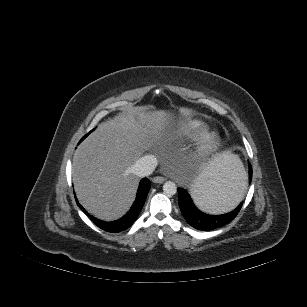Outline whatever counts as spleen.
I'll list each match as a JSON object with an SVG mask.
<instances>
[{"instance_id": "spleen-1", "label": "spleen", "mask_w": 307, "mask_h": 307, "mask_svg": "<svg viewBox=\"0 0 307 307\" xmlns=\"http://www.w3.org/2000/svg\"><path fill=\"white\" fill-rule=\"evenodd\" d=\"M236 158L229 150L217 149L201 165V180L192 191V196L202 210L222 213L237 207L244 200L247 175Z\"/></svg>"}]
</instances>
